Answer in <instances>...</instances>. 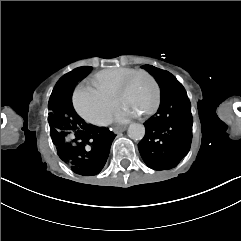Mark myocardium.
I'll use <instances>...</instances> for the list:
<instances>
[{
  "label": "myocardium",
  "instance_id": "myocardium-1",
  "mask_svg": "<svg viewBox=\"0 0 241 241\" xmlns=\"http://www.w3.org/2000/svg\"><path fill=\"white\" fill-rule=\"evenodd\" d=\"M142 76H149V79L152 81V87H153V91H154V95H155V101H154L153 105H151V110H156V108H158V103H160V93L158 90L157 81H153V80H155V75H154V73H150V71L138 70V71L130 72L128 75H126L124 77V79L121 81V84L118 86L119 90L117 93V100H122L124 98L123 90L128 83H130L131 81L136 80L138 77H142ZM150 112H152V111H145V113H142V118H148V116H150Z\"/></svg>",
  "mask_w": 241,
  "mask_h": 241
}]
</instances>
